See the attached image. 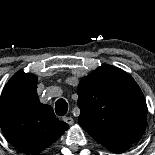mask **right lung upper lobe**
<instances>
[{
    "label": "right lung upper lobe",
    "mask_w": 155,
    "mask_h": 155,
    "mask_svg": "<svg viewBox=\"0 0 155 155\" xmlns=\"http://www.w3.org/2000/svg\"><path fill=\"white\" fill-rule=\"evenodd\" d=\"M0 126L8 142L27 154L53 144L69 125L56 118L37 96V78L23 71L5 85L0 97Z\"/></svg>",
    "instance_id": "right-lung-upper-lobe-1"
}]
</instances>
